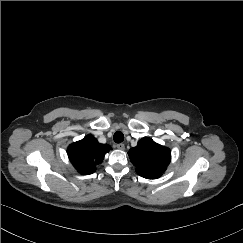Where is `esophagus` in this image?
<instances>
[{
    "instance_id": "34e87169",
    "label": "esophagus",
    "mask_w": 243,
    "mask_h": 243,
    "mask_svg": "<svg viewBox=\"0 0 243 243\" xmlns=\"http://www.w3.org/2000/svg\"><path fill=\"white\" fill-rule=\"evenodd\" d=\"M116 147H117L119 150H124V149H125V146H124L123 143L116 144Z\"/></svg>"
}]
</instances>
